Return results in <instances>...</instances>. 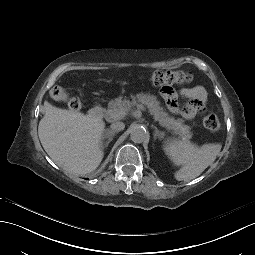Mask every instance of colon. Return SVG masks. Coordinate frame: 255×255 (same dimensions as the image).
Listing matches in <instances>:
<instances>
[{
	"label": "colon",
	"mask_w": 255,
	"mask_h": 255,
	"mask_svg": "<svg viewBox=\"0 0 255 255\" xmlns=\"http://www.w3.org/2000/svg\"><path fill=\"white\" fill-rule=\"evenodd\" d=\"M149 80L154 85L162 86L164 90H167L173 84L190 83L193 80V75L182 70H157L150 75ZM50 95L55 101L67 104L73 111L79 110L81 107L79 98L71 96L61 86L53 87ZM203 125L208 131H218L221 128V121L216 114L209 113L203 118Z\"/></svg>",
	"instance_id": "obj_1"
}]
</instances>
